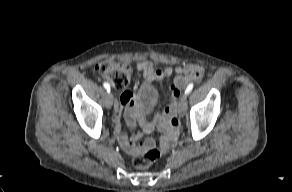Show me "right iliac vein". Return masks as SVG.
I'll return each mask as SVG.
<instances>
[{"label": "right iliac vein", "instance_id": "obj_1", "mask_svg": "<svg viewBox=\"0 0 292 192\" xmlns=\"http://www.w3.org/2000/svg\"><path fill=\"white\" fill-rule=\"evenodd\" d=\"M105 104H106V107L108 109H110L112 107V104H113V94L112 93H108L106 95Z\"/></svg>", "mask_w": 292, "mask_h": 192}]
</instances>
